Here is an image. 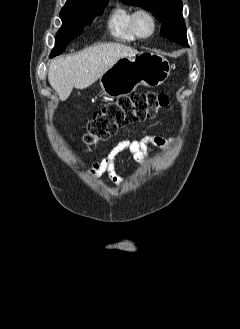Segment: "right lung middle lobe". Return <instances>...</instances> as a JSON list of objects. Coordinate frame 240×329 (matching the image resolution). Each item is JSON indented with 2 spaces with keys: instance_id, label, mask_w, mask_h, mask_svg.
<instances>
[{
  "instance_id": "right-lung-middle-lobe-1",
  "label": "right lung middle lobe",
  "mask_w": 240,
  "mask_h": 329,
  "mask_svg": "<svg viewBox=\"0 0 240 329\" xmlns=\"http://www.w3.org/2000/svg\"><path fill=\"white\" fill-rule=\"evenodd\" d=\"M108 2L109 0H99L86 5L64 6L60 12L63 24L57 33L50 58L63 52L68 43L83 32V27L103 13Z\"/></svg>"
}]
</instances>
